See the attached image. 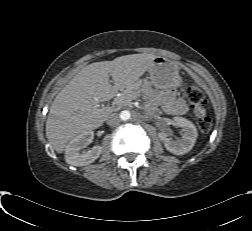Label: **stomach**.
<instances>
[{
  "label": "stomach",
  "instance_id": "obj_1",
  "mask_svg": "<svg viewBox=\"0 0 252 231\" xmlns=\"http://www.w3.org/2000/svg\"><path fill=\"white\" fill-rule=\"evenodd\" d=\"M149 74L151 84L158 90H175L181 86L177 68L164 57L153 60Z\"/></svg>",
  "mask_w": 252,
  "mask_h": 231
}]
</instances>
